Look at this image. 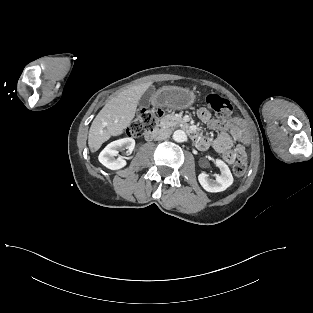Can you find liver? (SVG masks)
Masks as SVG:
<instances>
[{
	"instance_id": "obj_1",
	"label": "liver",
	"mask_w": 313,
	"mask_h": 313,
	"mask_svg": "<svg viewBox=\"0 0 313 313\" xmlns=\"http://www.w3.org/2000/svg\"><path fill=\"white\" fill-rule=\"evenodd\" d=\"M151 83H143L120 92L109 100L93 120L88 145L91 152H96L111 136L123 133L132 122L136 109L145 91Z\"/></svg>"
}]
</instances>
